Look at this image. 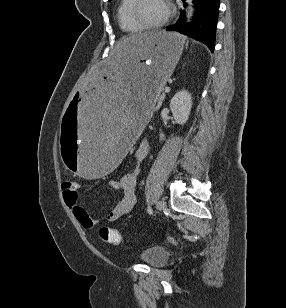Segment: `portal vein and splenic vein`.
Instances as JSON below:
<instances>
[{
	"label": "portal vein and splenic vein",
	"instance_id": "1",
	"mask_svg": "<svg viewBox=\"0 0 286 308\" xmlns=\"http://www.w3.org/2000/svg\"><path fill=\"white\" fill-rule=\"evenodd\" d=\"M170 91V88L169 87H166L165 88V92H169Z\"/></svg>",
	"mask_w": 286,
	"mask_h": 308
}]
</instances>
